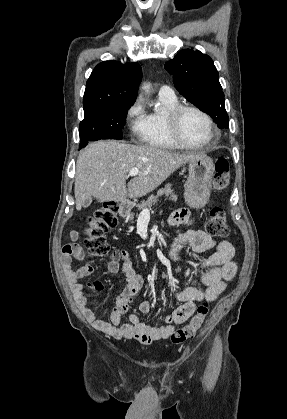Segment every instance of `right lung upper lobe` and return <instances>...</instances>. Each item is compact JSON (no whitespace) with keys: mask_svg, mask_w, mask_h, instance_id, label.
Returning a JSON list of instances; mask_svg holds the SVG:
<instances>
[{"mask_svg":"<svg viewBox=\"0 0 287 419\" xmlns=\"http://www.w3.org/2000/svg\"><path fill=\"white\" fill-rule=\"evenodd\" d=\"M142 78L137 63L105 61L92 71L84 93V113L103 107L133 104Z\"/></svg>","mask_w":287,"mask_h":419,"instance_id":"1","label":"right lung upper lobe"}]
</instances>
